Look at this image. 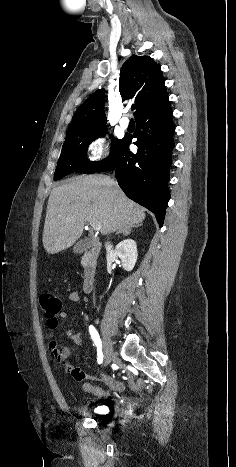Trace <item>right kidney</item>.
Listing matches in <instances>:
<instances>
[{
    "instance_id": "obj_1",
    "label": "right kidney",
    "mask_w": 236,
    "mask_h": 467,
    "mask_svg": "<svg viewBox=\"0 0 236 467\" xmlns=\"http://www.w3.org/2000/svg\"><path fill=\"white\" fill-rule=\"evenodd\" d=\"M115 251L122 261L124 270L131 271L138 257L136 242L132 239L123 240L116 246Z\"/></svg>"
}]
</instances>
